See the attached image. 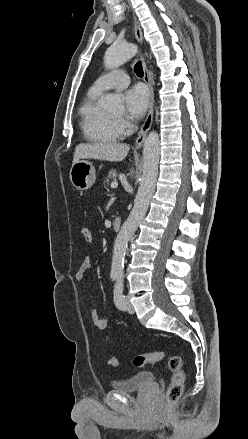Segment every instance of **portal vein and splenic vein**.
I'll use <instances>...</instances> for the list:
<instances>
[{"label":"portal vein and splenic vein","instance_id":"18ae733b","mask_svg":"<svg viewBox=\"0 0 248 439\" xmlns=\"http://www.w3.org/2000/svg\"><path fill=\"white\" fill-rule=\"evenodd\" d=\"M117 187H118V182L114 181V182L111 183V188L112 189H115Z\"/></svg>","mask_w":248,"mask_h":439}]
</instances>
